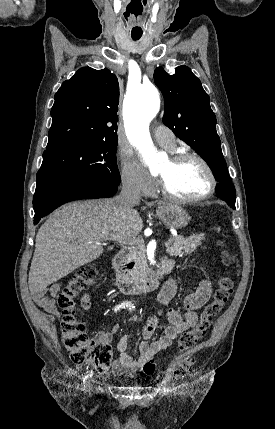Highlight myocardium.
<instances>
[{"instance_id": "1", "label": "myocardium", "mask_w": 275, "mask_h": 429, "mask_svg": "<svg viewBox=\"0 0 275 429\" xmlns=\"http://www.w3.org/2000/svg\"><path fill=\"white\" fill-rule=\"evenodd\" d=\"M187 160H196L198 161L203 168L205 169L207 175H208V179H209V188L206 191V193H204L201 196L198 197H181V196H177L175 194H173L171 191L168 190V188L165 186L164 182L160 179L159 181V189L161 194L178 203H183V204H196V203H200L203 202L207 199H209L210 197L213 196V194L216 191L217 188V178L215 175V172L213 170V168L211 167V165L208 163V161L203 158L201 155L197 154V153H193V152H179V153H175L170 157V161L172 163H181Z\"/></svg>"}]
</instances>
